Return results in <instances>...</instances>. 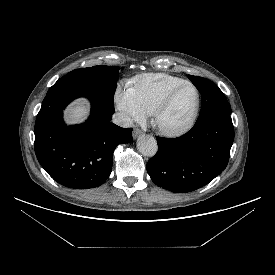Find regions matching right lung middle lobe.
<instances>
[{"label":"right lung middle lobe","instance_id":"dd1d6c3e","mask_svg":"<svg viewBox=\"0 0 275 275\" xmlns=\"http://www.w3.org/2000/svg\"><path fill=\"white\" fill-rule=\"evenodd\" d=\"M118 66H94L73 70L61 77L47 92V96L69 92L89 93L113 104L117 86Z\"/></svg>","mask_w":275,"mask_h":275}]
</instances>
